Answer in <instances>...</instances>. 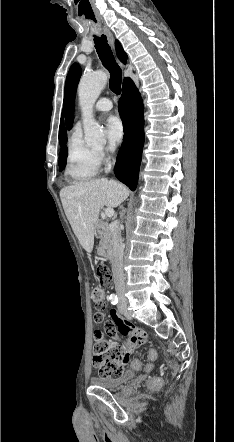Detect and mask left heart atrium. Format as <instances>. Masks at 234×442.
I'll return each instance as SVG.
<instances>
[{
	"mask_svg": "<svg viewBox=\"0 0 234 442\" xmlns=\"http://www.w3.org/2000/svg\"><path fill=\"white\" fill-rule=\"evenodd\" d=\"M106 133L111 147L119 144L124 137V127L118 116L112 115L106 120Z\"/></svg>",
	"mask_w": 234,
	"mask_h": 442,
	"instance_id": "1",
	"label": "left heart atrium"
}]
</instances>
